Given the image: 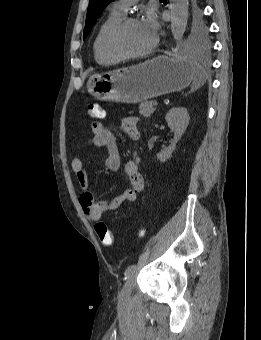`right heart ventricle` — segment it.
<instances>
[{
    "mask_svg": "<svg viewBox=\"0 0 261 340\" xmlns=\"http://www.w3.org/2000/svg\"><path fill=\"white\" fill-rule=\"evenodd\" d=\"M123 17L124 14L111 10L99 25L92 45L94 58L98 64L107 66L118 61V59L107 53L104 46V40L112 26Z\"/></svg>",
    "mask_w": 261,
    "mask_h": 340,
    "instance_id": "1",
    "label": "right heart ventricle"
}]
</instances>
